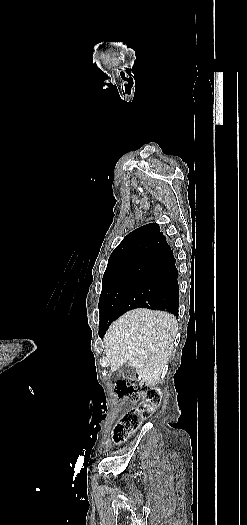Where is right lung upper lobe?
<instances>
[{"label": "right lung upper lobe", "instance_id": "1", "mask_svg": "<svg viewBox=\"0 0 247 525\" xmlns=\"http://www.w3.org/2000/svg\"><path fill=\"white\" fill-rule=\"evenodd\" d=\"M168 246L157 223L139 227L129 233L112 252L106 271L134 267L147 257L161 254Z\"/></svg>", "mask_w": 247, "mask_h": 525}]
</instances>
